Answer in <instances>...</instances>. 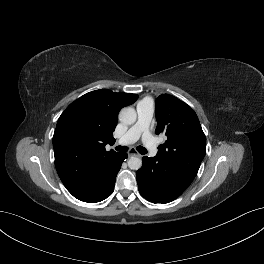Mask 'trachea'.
Returning <instances> with one entry per match:
<instances>
[{
    "label": "trachea",
    "instance_id": "obj_1",
    "mask_svg": "<svg viewBox=\"0 0 264 264\" xmlns=\"http://www.w3.org/2000/svg\"><path fill=\"white\" fill-rule=\"evenodd\" d=\"M115 149L119 152H127L128 151V147H126V146H117ZM137 151L142 155L147 153V150L142 146H138Z\"/></svg>",
    "mask_w": 264,
    "mask_h": 264
}]
</instances>
